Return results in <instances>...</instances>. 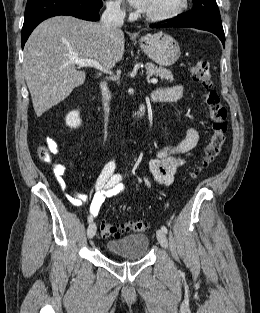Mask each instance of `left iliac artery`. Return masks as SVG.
Returning a JSON list of instances; mask_svg holds the SVG:
<instances>
[{
    "label": "left iliac artery",
    "instance_id": "left-iliac-artery-1",
    "mask_svg": "<svg viewBox=\"0 0 260 313\" xmlns=\"http://www.w3.org/2000/svg\"><path fill=\"white\" fill-rule=\"evenodd\" d=\"M161 230L164 231L165 233H167V228L165 226H162Z\"/></svg>",
    "mask_w": 260,
    "mask_h": 313
}]
</instances>
